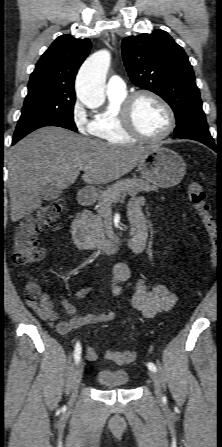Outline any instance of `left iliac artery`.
<instances>
[{"label":"left iliac artery","mask_w":222,"mask_h":447,"mask_svg":"<svg viewBox=\"0 0 222 447\" xmlns=\"http://www.w3.org/2000/svg\"><path fill=\"white\" fill-rule=\"evenodd\" d=\"M147 366H148V368H149L151 371H153V372H156V371H157V368H156V366H155L153 363L149 362V363L147 364Z\"/></svg>","instance_id":"obj_1"}]
</instances>
